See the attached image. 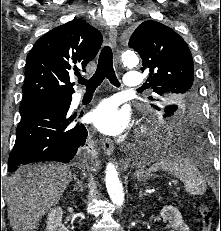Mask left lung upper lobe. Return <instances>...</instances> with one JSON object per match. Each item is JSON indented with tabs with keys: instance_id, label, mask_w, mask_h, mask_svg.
<instances>
[{
	"instance_id": "1",
	"label": "left lung upper lobe",
	"mask_w": 221,
	"mask_h": 231,
	"mask_svg": "<svg viewBox=\"0 0 221 231\" xmlns=\"http://www.w3.org/2000/svg\"><path fill=\"white\" fill-rule=\"evenodd\" d=\"M129 47L142 58L150 72L147 87L160 95L157 110L169 117L178 109L193 108L198 102L191 52L180 35L157 21L141 23L129 40Z\"/></svg>"
}]
</instances>
